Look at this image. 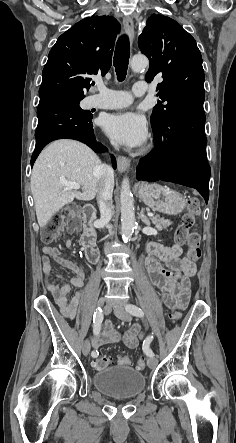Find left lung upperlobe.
Here are the masks:
<instances>
[{
	"mask_svg": "<svg viewBox=\"0 0 236 443\" xmlns=\"http://www.w3.org/2000/svg\"><path fill=\"white\" fill-rule=\"evenodd\" d=\"M139 48L150 62L145 80L151 82L156 75L158 101L151 115V126L160 127L167 115L184 105L203 106L204 70L201 53L195 39L173 19L153 14L143 29ZM162 102H167L162 105Z\"/></svg>",
	"mask_w": 236,
	"mask_h": 443,
	"instance_id": "5c2ea615",
	"label": "left lung upper lobe"
}]
</instances>
